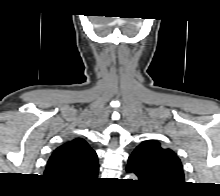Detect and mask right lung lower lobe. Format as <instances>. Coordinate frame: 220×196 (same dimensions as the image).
Wrapping results in <instances>:
<instances>
[{
	"instance_id": "1",
	"label": "right lung lower lobe",
	"mask_w": 220,
	"mask_h": 196,
	"mask_svg": "<svg viewBox=\"0 0 220 196\" xmlns=\"http://www.w3.org/2000/svg\"><path fill=\"white\" fill-rule=\"evenodd\" d=\"M60 185H63V186H68V187H75V186H81L82 184H79V185H72V184H65V183H59V182H56Z\"/></svg>"
}]
</instances>
